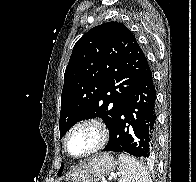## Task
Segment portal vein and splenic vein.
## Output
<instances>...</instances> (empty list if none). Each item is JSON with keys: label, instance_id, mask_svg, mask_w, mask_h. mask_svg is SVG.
Listing matches in <instances>:
<instances>
[{"label": "portal vein and splenic vein", "instance_id": "1", "mask_svg": "<svg viewBox=\"0 0 196 182\" xmlns=\"http://www.w3.org/2000/svg\"><path fill=\"white\" fill-rule=\"evenodd\" d=\"M102 182H107L106 180H102Z\"/></svg>", "mask_w": 196, "mask_h": 182}]
</instances>
